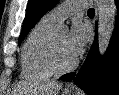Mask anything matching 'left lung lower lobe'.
Listing matches in <instances>:
<instances>
[{"instance_id":"0a47b994","label":"left lung lower lobe","mask_w":119,"mask_h":95,"mask_svg":"<svg viewBox=\"0 0 119 95\" xmlns=\"http://www.w3.org/2000/svg\"><path fill=\"white\" fill-rule=\"evenodd\" d=\"M116 4L118 6V3ZM60 79L74 80V83L88 95H119V17L105 55L100 57L98 53L96 36L77 75L69 73L61 76Z\"/></svg>"}]
</instances>
